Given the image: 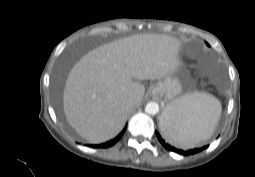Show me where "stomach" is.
Wrapping results in <instances>:
<instances>
[{"label": "stomach", "mask_w": 255, "mask_h": 177, "mask_svg": "<svg viewBox=\"0 0 255 177\" xmlns=\"http://www.w3.org/2000/svg\"><path fill=\"white\" fill-rule=\"evenodd\" d=\"M150 93L153 97H159V98L163 97L165 100H169L172 102L181 95L182 85L178 78H176L173 74H169L162 80H159L158 82H156L151 87ZM169 104L165 107L161 115L160 128L163 123V118L169 112Z\"/></svg>", "instance_id": "stomach-1"}]
</instances>
